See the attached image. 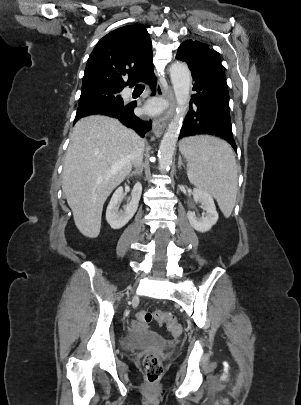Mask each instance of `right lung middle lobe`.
Segmentation results:
<instances>
[{
    "label": "right lung middle lobe",
    "instance_id": "1",
    "mask_svg": "<svg viewBox=\"0 0 301 405\" xmlns=\"http://www.w3.org/2000/svg\"><path fill=\"white\" fill-rule=\"evenodd\" d=\"M120 91V89L109 87L82 89L77 113L104 106L124 105L119 95Z\"/></svg>",
    "mask_w": 301,
    "mask_h": 405
}]
</instances>
